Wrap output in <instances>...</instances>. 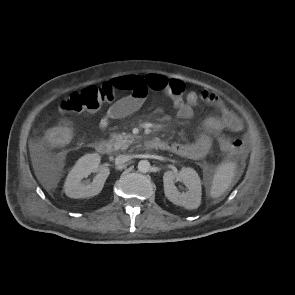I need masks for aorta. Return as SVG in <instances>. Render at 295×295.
<instances>
[{"label": "aorta", "instance_id": "aorta-1", "mask_svg": "<svg viewBox=\"0 0 295 295\" xmlns=\"http://www.w3.org/2000/svg\"><path fill=\"white\" fill-rule=\"evenodd\" d=\"M151 168L150 162L148 160H141L138 163V171L141 173H147Z\"/></svg>", "mask_w": 295, "mask_h": 295}]
</instances>
